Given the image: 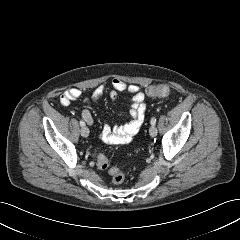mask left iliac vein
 Listing matches in <instances>:
<instances>
[{
	"mask_svg": "<svg viewBox=\"0 0 240 240\" xmlns=\"http://www.w3.org/2000/svg\"><path fill=\"white\" fill-rule=\"evenodd\" d=\"M149 134L152 137H155L157 135V128L155 127V125H151L149 128Z\"/></svg>",
	"mask_w": 240,
	"mask_h": 240,
	"instance_id": "4c4485c4",
	"label": "left iliac vein"
}]
</instances>
